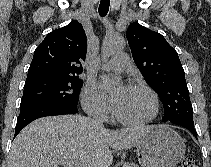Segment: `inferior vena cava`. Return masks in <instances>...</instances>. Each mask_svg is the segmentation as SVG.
Masks as SVG:
<instances>
[{"mask_svg":"<svg viewBox=\"0 0 211 167\" xmlns=\"http://www.w3.org/2000/svg\"><path fill=\"white\" fill-rule=\"evenodd\" d=\"M89 122L90 124L94 127V128H97V129H101L103 128V120L102 118L100 117V114L98 113H91L89 115Z\"/></svg>","mask_w":211,"mask_h":167,"instance_id":"602c4592","label":"inferior vena cava"}]
</instances>
